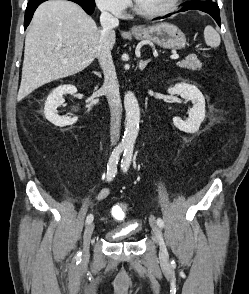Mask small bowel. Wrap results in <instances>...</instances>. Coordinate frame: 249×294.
<instances>
[{
  "label": "small bowel",
  "mask_w": 249,
  "mask_h": 294,
  "mask_svg": "<svg viewBox=\"0 0 249 294\" xmlns=\"http://www.w3.org/2000/svg\"><path fill=\"white\" fill-rule=\"evenodd\" d=\"M111 194V189L106 187V188H103L101 189L97 195L95 196V201L96 202H102L103 200H105L106 198H108ZM113 210H114V207L112 208L111 210V213H112V216L117 219L114 215H113Z\"/></svg>",
  "instance_id": "1"
}]
</instances>
